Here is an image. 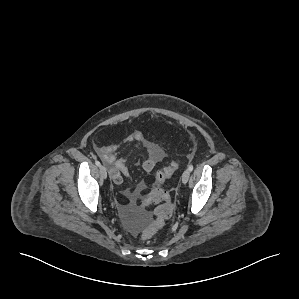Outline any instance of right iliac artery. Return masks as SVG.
<instances>
[{
    "mask_svg": "<svg viewBox=\"0 0 299 299\" xmlns=\"http://www.w3.org/2000/svg\"><path fill=\"white\" fill-rule=\"evenodd\" d=\"M95 164H96L98 167L101 166V163H100L98 160L95 161Z\"/></svg>",
    "mask_w": 299,
    "mask_h": 299,
    "instance_id": "82829eb1",
    "label": "right iliac artery"
}]
</instances>
